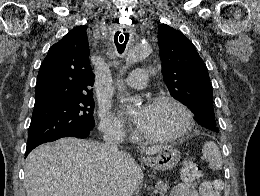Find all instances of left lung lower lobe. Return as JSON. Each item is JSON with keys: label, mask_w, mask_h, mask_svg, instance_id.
<instances>
[{"label": "left lung lower lobe", "mask_w": 260, "mask_h": 196, "mask_svg": "<svg viewBox=\"0 0 260 196\" xmlns=\"http://www.w3.org/2000/svg\"><path fill=\"white\" fill-rule=\"evenodd\" d=\"M195 120L202 126H208L215 122V115L213 108L201 107L194 112Z\"/></svg>", "instance_id": "1"}]
</instances>
